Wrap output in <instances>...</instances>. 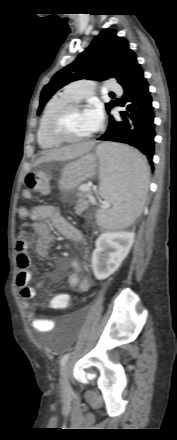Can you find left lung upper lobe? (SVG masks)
Returning a JSON list of instances; mask_svg holds the SVG:
<instances>
[{"label": "left lung upper lobe", "mask_w": 177, "mask_h": 440, "mask_svg": "<svg viewBox=\"0 0 177 440\" xmlns=\"http://www.w3.org/2000/svg\"><path fill=\"white\" fill-rule=\"evenodd\" d=\"M135 53L129 48L128 41L117 36L113 29H105L96 36L88 48L75 61L57 72L42 92L39 115L45 103L60 88L68 83L80 80H105L111 77L117 79L122 87L126 86L140 69ZM115 103H106L109 111Z\"/></svg>", "instance_id": "1"}]
</instances>
